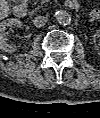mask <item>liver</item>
I'll return each mask as SVG.
<instances>
[{"instance_id":"obj_1","label":"liver","mask_w":100,"mask_h":118,"mask_svg":"<svg viewBox=\"0 0 100 118\" xmlns=\"http://www.w3.org/2000/svg\"><path fill=\"white\" fill-rule=\"evenodd\" d=\"M0 7H1V14L3 16H6L10 10L8 2L6 0H1Z\"/></svg>"}]
</instances>
